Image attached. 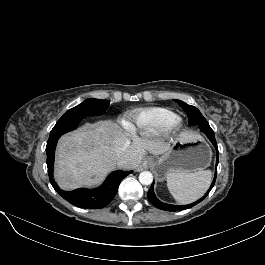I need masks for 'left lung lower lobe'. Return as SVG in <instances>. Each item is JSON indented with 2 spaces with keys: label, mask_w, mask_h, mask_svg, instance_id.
<instances>
[{
  "label": "left lung lower lobe",
  "mask_w": 265,
  "mask_h": 265,
  "mask_svg": "<svg viewBox=\"0 0 265 265\" xmlns=\"http://www.w3.org/2000/svg\"><path fill=\"white\" fill-rule=\"evenodd\" d=\"M200 130L206 134V136L208 137V139L211 141V143L214 145L216 151H217V154H218V148H217V142L215 140V136H214V131L211 129V127L209 126L208 122L207 123H202V124H199L198 125ZM218 165V155H217V160H216V166ZM216 172L215 171V177L213 179V182L209 188V190L207 191V193L199 200H197L196 202L194 203H191V204H188V205H170V204H165L161 201H159L155 194H154V183L151 185L148 193H147V196H148V199L149 201L154 205L156 206L157 208L159 209H162V210H166V211H180V210H184V209H188V208H191L193 207L194 205L198 204L199 202H201L207 195L208 193L210 192V190L212 189V187L214 186L215 184V181H216Z\"/></svg>",
  "instance_id": "obj_1"
}]
</instances>
